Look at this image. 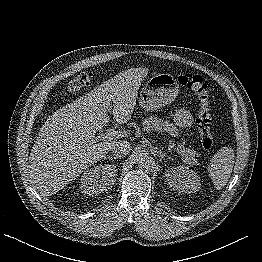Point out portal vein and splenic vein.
Segmentation results:
<instances>
[{
	"label": "portal vein and splenic vein",
	"mask_w": 262,
	"mask_h": 262,
	"mask_svg": "<svg viewBox=\"0 0 262 262\" xmlns=\"http://www.w3.org/2000/svg\"><path fill=\"white\" fill-rule=\"evenodd\" d=\"M126 135V132L124 131H110V132H103L100 135L96 136L95 139L100 140H113L115 138L123 137ZM179 153L182 155V157L185 158V161L188 162V157L185 156L184 151H179Z\"/></svg>",
	"instance_id": "portal-vein-and-splenic-vein-1"
}]
</instances>
